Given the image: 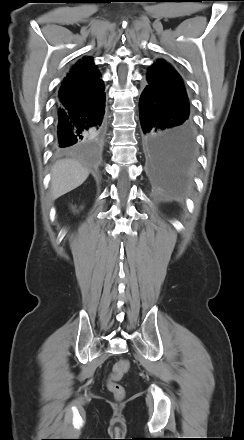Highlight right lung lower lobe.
Listing matches in <instances>:
<instances>
[{"instance_id": "98d812e1", "label": "right lung lower lobe", "mask_w": 244, "mask_h": 440, "mask_svg": "<svg viewBox=\"0 0 244 440\" xmlns=\"http://www.w3.org/2000/svg\"><path fill=\"white\" fill-rule=\"evenodd\" d=\"M105 94L69 106L57 105L56 146L71 149L102 136L104 131Z\"/></svg>"}]
</instances>
